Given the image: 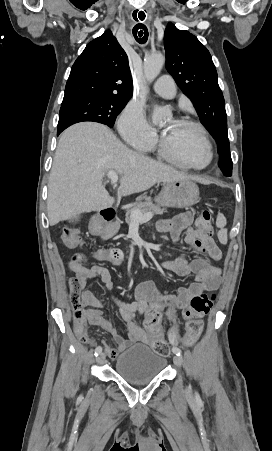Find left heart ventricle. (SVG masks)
<instances>
[{"instance_id":"b2bd125f","label":"left heart ventricle","mask_w":272,"mask_h":451,"mask_svg":"<svg viewBox=\"0 0 272 451\" xmlns=\"http://www.w3.org/2000/svg\"><path fill=\"white\" fill-rule=\"evenodd\" d=\"M162 127L168 146L181 161L194 167H203L208 162L207 150L198 132L174 119H167Z\"/></svg>"}]
</instances>
